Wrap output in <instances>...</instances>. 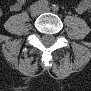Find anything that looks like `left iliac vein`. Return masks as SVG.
<instances>
[{
    "label": "left iliac vein",
    "mask_w": 91,
    "mask_h": 91,
    "mask_svg": "<svg viewBox=\"0 0 91 91\" xmlns=\"http://www.w3.org/2000/svg\"><path fill=\"white\" fill-rule=\"evenodd\" d=\"M51 10L50 7H45V8H42V12H49Z\"/></svg>",
    "instance_id": "obj_1"
}]
</instances>
